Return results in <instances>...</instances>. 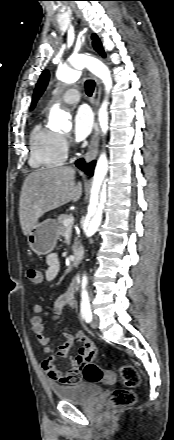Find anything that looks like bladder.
<instances>
[{"instance_id": "31cf9c89", "label": "bladder", "mask_w": 174, "mask_h": 440, "mask_svg": "<svg viewBox=\"0 0 174 440\" xmlns=\"http://www.w3.org/2000/svg\"><path fill=\"white\" fill-rule=\"evenodd\" d=\"M51 389L59 401L69 403H89L102 392V388L89 382L72 385L52 384Z\"/></svg>"}]
</instances>
